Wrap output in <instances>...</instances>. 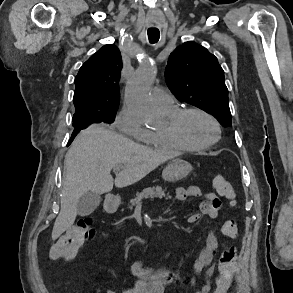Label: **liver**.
I'll return each mask as SVG.
<instances>
[{
	"instance_id": "1",
	"label": "liver",
	"mask_w": 293,
	"mask_h": 293,
	"mask_svg": "<svg viewBox=\"0 0 293 293\" xmlns=\"http://www.w3.org/2000/svg\"><path fill=\"white\" fill-rule=\"evenodd\" d=\"M174 156L135 143L99 125L81 131L65 156L61 209L54 223L52 239H57L73 225L82 195L108 193L113 185L117 188L130 186ZM117 166L121 171L114 180L110 172Z\"/></svg>"
}]
</instances>
